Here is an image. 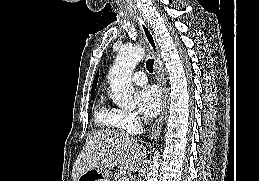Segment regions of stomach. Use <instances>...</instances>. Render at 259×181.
<instances>
[{
	"instance_id": "0dacf381",
	"label": "stomach",
	"mask_w": 259,
	"mask_h": 181,
	"mask_svg": "<svg viewBox=\"0 0 259 181\" xmlns=\"http://www.w3.org/2000/svg\"><path fill=\"white\" fill-rule=\"evenodd\" d=\"M77 181H110V173L107 169L91 168L85 171Z\"/></svg>"
}]
</instances>
